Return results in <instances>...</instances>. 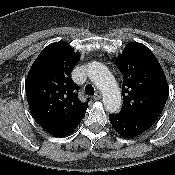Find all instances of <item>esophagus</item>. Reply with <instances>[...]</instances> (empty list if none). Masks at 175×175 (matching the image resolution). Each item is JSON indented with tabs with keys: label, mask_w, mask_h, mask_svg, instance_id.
<instances>
[{
	"label": "esophagus",
	"mask_w": 175,
	"mask_h": 175,
	"mask_svg": "<svg viewBox=\"0 0 175 175\" xmlns=\"http://www.w3.org/2000/svg\"><path fill=\"white\" fill-rule=\"evenodd\" d=\"M102 97L101 91H97L96 94L94 95L93 99L94 100H100Z\"/></svg>",
	"instance_id": "1"
}]
</instances>
